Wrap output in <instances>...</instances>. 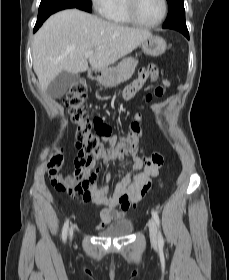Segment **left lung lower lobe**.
Instances as JSON below:
<instances>
[{
	"label": "left lung lower lobe",
	"instance_id": "0a47b994",
	"mask_svg": "<svg viewBox=\"0 0 229 280\" xmlns=\"http://www.w3.org/2000/svg\"><path fill=\"white\" fill-rule=\"evenodd\" d=\"M169 28L181 32L184 36H186L189 39V33H188V30H187L186 23H184V24H176V25H173V26H171Z\"/></svg>",
	"mask_w": 229,
	"mask_h": 280
}]
</instances>
